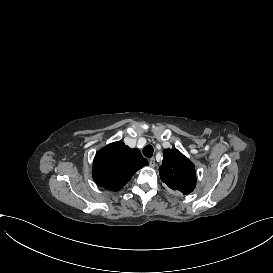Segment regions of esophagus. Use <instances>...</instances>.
Wrapping results in <instances>:
<instances>
[{"mask_svg": "<svg viewBox=\"0 0 273 273\" xmlns=\"http://www.w3.org/2000/svg\"><path fill=\"white\" fill-rule=\"evenodd\" d=\"M155 164H156L155 158H150V159H149V165H150L151 167H154Z\"/></svg>", "mask_w": 273, "mask_h": 273, "instance_id": "obj_1", "label": "esophagus"}]
</instances>
